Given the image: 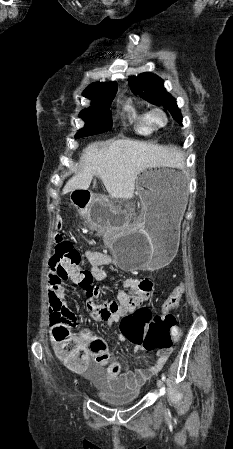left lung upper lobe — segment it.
I'll list each match as a JSON object with an SVG mask.
<instances>
[{"mask_svg": "<svg viewBox=\"0 0 233 449\" xmlns=\"http://www.w3.org/2000/svg\"><path fill=\"white\" fill-rule=\"evenodd\" d=\"M129 84L134 94L154 104L162 105L170 111L173 118L182 124L181 111L174 99L164 88V81L153 73H141L129 78Z\"/></svg>", "mask_w": 233, "mask_h": 449, "instance_id": "obj_1", "label": "left lung upper lobe"}]
</instances>
